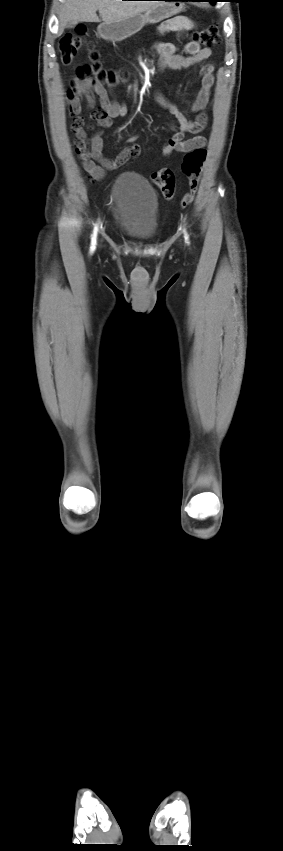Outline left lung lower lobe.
I'll return each mask as SVG.
<instances>
[{
  "label": "left lung lower lobe",
  "mask_w": 283,
  "mask_h": 851,
  "mask_svg": "<svg viewBox=\"0 0 283 851\" xmlns=\"http://www.w3.org/2000/svg\"><path fill=\"white\" fill-rule=\"evenodd\" d=\"M178 1H208V2H211V3H215V0H178Z\"/></svg>",
  "instance_id": "0a47b994"
}]
</instances>
